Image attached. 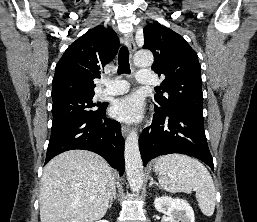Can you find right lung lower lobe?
I'll use <instances>...</instances> for the list:
<instances>
[{
  "label": "right lung lower lobe",
  "instance_id": "obj_1",
  "mask_svg": "<svg viewBox=\"0 0 257 222\" xmlns=\"http://www.w3.org/2000/svg\"><path fill=\"white\" fill-rule=\"evenodd\" d=\"M74 149L95 152L123 174L124 139L121 125L106 117L105 111L94 118H72L52 125L45 164L54 156Z\"/></svg>",
  "mask_w": 257,
  "mask_h": 222
}]
</instances>
